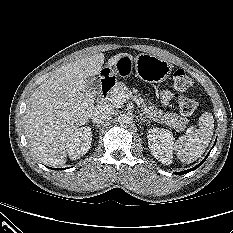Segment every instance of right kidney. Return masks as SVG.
I'll return each mask as SVG.
<instances>
[{
	"label": "right kidney",
	"mask_w": 233,
	"mask_h": 233,
	"mask_svg": "<svg viewBox=\"0 0 233 233\" xmlns=\"http://www.w3.org/2000/svg\"><path fill=\"white\" fill-rule=\"evenodd\" d=\"M92 141V132L89 127H80L68 138L66 152L72 160H76L87 153Z\"/></svg>",
	"instance_id": "right-kidney-1"
}]
</instances>
